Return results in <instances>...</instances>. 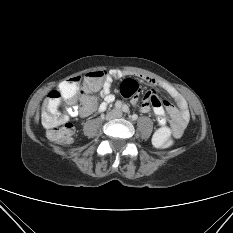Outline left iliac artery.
<instances>
[{
  "mask_svg": "<svg viewBox=\"0 0 233 233\" xmlns=\"http://www.w3.org/2000/svg\"><path fill=\"white\" fill-rule=\"evenodd\" d=\"M122 110L127 113L129 111V108L127 105H123Z\"/></svg>",
  "mask_w": 233,
  "mask_h": 233,
  "instance_id": "left-iliac-artery-1",
  "label": "left iliac artery"
}]
</instances>
